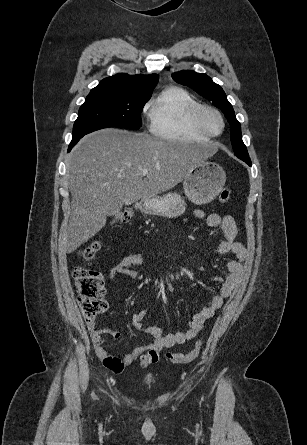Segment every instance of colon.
Masks as SVG:
<instances>
[{
  "label": "colon",
  "instance_id": "colon-1",
  "mask_svg": "<svg viewBox=\"0 0 307 445\" xmlns=\"http://www.w3.org/2000/svg\"><path fill=\"white\" fill-rule=\"evenodd\" d=\"M231 197V190L228 187L222 189L219 200L223 203L229 201ZM130 213L123 211L115 216V222L124 224L129 222ZM101 243L97 240L90 242L79 252V256L84 261L90 262L93 260L97 252L100 250ZM73 278L75 289L78 294V301L85 320L91 321L97 315L104 312L107 308L104 301V279L102 274L97 271L76 266L73 269ZM202 342L198 340L194 347L188 352H169L167 359L172 363L187 364L195 360L200 352Z\"/></svg>",
  "mask_w": 307,
  "mask_h": 445
}]
</instances>
